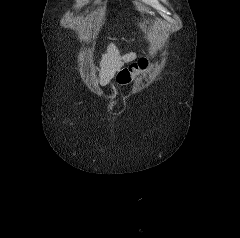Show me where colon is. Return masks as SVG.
Returning a JSON list of instances; mask_svg holds the SVG:
<instances>
[{
  "instance_id": "obj_1",
  "label": "colon",
  "mask_w": 240,
  "mask_h": 238,
  "mask_svg": "<svg viewBox=\"0 0 240 238\" xmlns=\"http://www.w3.org/2000/svg\"><path fill=\"white\" fill-rule=\"evenodd\" d=\"M151 61L147 58H141L128 67L122 69L116 78L118 85L124 86L130 84L137 76L146 71Z\"/></svg>"
}]
</instances>
